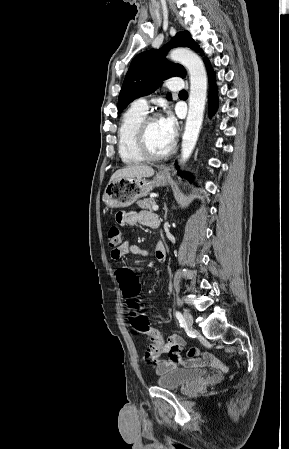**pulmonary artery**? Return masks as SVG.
<instances>
[{
	"label": "pulmonary artery",
	"instance_id": "pulmonary-artery-1",
	"mask_svg": "<svg viewBox=\"0 0 289 449\" xmlns=\"http://www.w3.org/2000/svg\"><path fill=\"white\" fill-rule=\"evenodd\" d=\"M165 85L170 90H178L182 87V80L178 77H172L166 81ZM133 105L144 111H148L149 109V102L146 98L136 99Z\"/></svg>",
	"mask_w": 289,
	"mask_h": 449
}]
</instances>
